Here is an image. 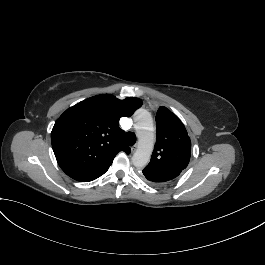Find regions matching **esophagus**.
I'll return each mask as SVG.
<instances>
[{
    "label": "esophagus",
    "instance_id": "34e87169",
    "mask_svg": "<svg viewBox=\"0 0 265 265\" xmlns=\"http://www.w3.org/2000/svg\"><path fill=\"white\" fill-rule=\"evenodd\" d=\"M136 147H137V145H134L133 147H132V152H134L135 150H136Z\"/></svg>",
    "mask_w": 265,
    "mask_h": 265
}]
</instances>
